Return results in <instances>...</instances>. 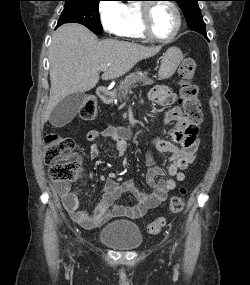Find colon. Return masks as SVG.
<instances>
[{
    "instance_id": "1",
    "label": "colon",
    "mask_w": 250,
    "mask_h": 285,
    "mask_svg": "<svg viewBox=\"0 0 250 285\" xmlns=\"http://www.w3.org/2000/svg\"><path fill=\"white\" fill-rule=\"evenodd\" d=\"M196 71V62L192 58L182 61L178 73L181 79L182 113L191 128L197 127L202 119L201 106L198 101V88L191 82ZM97 115V106L93 98L87 97L81 106L80 116L91 120ZM45 163L53 181L62 183L73 182L81 167V158L75 151L71 138L51 133L45 137ZM185 206L183 196L171 198L168 210L171 214L180 213ZM166 224L164 217H159L147 226L150 234H158Z\"/></svg>"
}]
</instances>
